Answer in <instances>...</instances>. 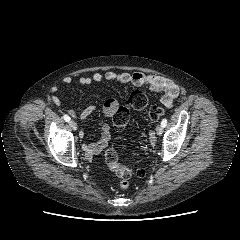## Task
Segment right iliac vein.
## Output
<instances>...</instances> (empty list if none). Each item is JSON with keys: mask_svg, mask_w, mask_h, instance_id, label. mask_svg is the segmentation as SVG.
Wrapping results in <instances>:
<instances>
[{"mask_svg": "<svg viewBox=\"0 0 240 240\" xmlns=\"http://www.w3.org/2000/svg\"><path fill=\"white\" fill-rule=\"evenodd\" d=\"M69 125L73 130H77V123L73 120L69 121Z\"/></svg>", "mask_w": 240, "mask_h": 240, "instance_id": "right-iliac-vein-1", "label": "right iliac vein"}]
</instances>
